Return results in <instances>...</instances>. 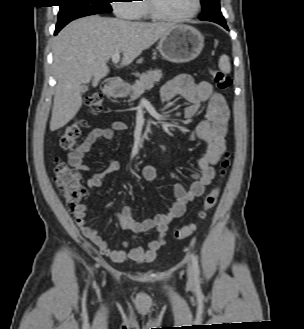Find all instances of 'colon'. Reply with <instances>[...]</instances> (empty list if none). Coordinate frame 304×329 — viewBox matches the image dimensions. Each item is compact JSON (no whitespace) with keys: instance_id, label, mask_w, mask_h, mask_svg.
<instances>
[{"instance_id":"obj_1","label":"colon","mask_w":304,"mask_h":329,"mask_svg":"<svg viewBox=\"0 0 304 329\" xmlns=\"http://www.w3.org/2000/svg\"><path fill=\"white\" fill-rule=\"evenodd\" d=\"M210 73L214 83L219 89H230L232 80L225 72L220 69H212ZM86 105L92 115L97 116L101 114L102 98L99 94L89 96L86 100ZM84 126L85 122L82 120H77L68 125L59 138V148L66 152L76 149L78 145V138L80 137ZM229 166L230 153L226 152L221 162L222 177L225 176ZM54 182L56 187L63 193L64 201L68 210L73 213L79 211L81 207V200L86 194V190L81 183V175L79 172L67 163L56 160ZM220 192L221 187L217 186L205 195L198 220L178 228L174 233L175 239L180 240L187 238L196 231L199 221L203 220L207 213L216 205Z\"/></svg>"}]
</instances>
